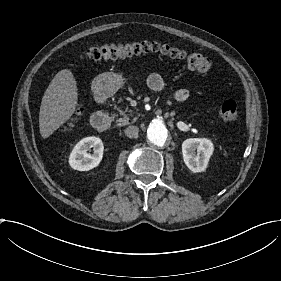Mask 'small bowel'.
<instances>
[{
    "label": "small bowel",
    "instance_id": "c3829d8e",
    "mask_svg": "<svg viewBox=\"0 0 281 281\" xmlns=\"http://www.w3.org/2000/svg\"><path fill=\"white\" fill-rule=\"evenodd\" d=\"M147 84L149 88L154 92L162 91L165 86L163 79L157 73L149 74L147 78ZM172 96L175 101L183 102L189 98L190 91L187 88H179L173 92Z\"/></svg>",
    "mask_w": 281,
    "mask_h": 281
}]
</instances>
